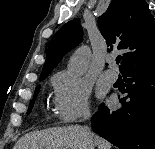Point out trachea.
<instances>
[{
    "label": "trachea",
    "instance_id": "3493384b",
    "mask_svg": "<svg viewBox=\"0 0 155 149\" xmlns=\"http://www.w3.org/2000/svg\"><path fill=\"white\" fill-rule=\"evenodd\" d=\"M120 61H121V57H117V58H116V63L119 64Z\"/></svg>",
    "mask_w": 155,
    "mask_h": 149
}]
</instances>
